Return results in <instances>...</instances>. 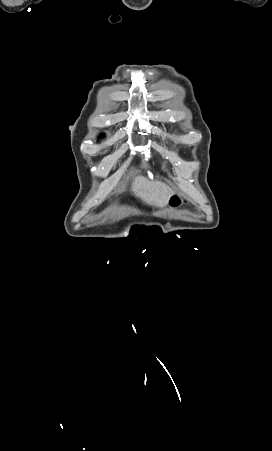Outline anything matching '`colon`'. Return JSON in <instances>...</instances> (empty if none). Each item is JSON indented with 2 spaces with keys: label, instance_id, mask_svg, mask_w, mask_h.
I'll return each mask as SVG.
<instances>
[{
  "label": "colon",
  "instance_id": "5ec220e1",
  "mask_svg": "<svg viewBox=\"0 0 272 451\" xmlns=\"http://www.w3.org/2000/svg\"><path fill=\"white\" fill-rule=\"evenodd\" d=\"M170 203L172 205L176 206V205H180L182 203V200L179 197L174 196L171 198Z\"/></svg>",
  "mask_w": 272,
  "mask_h": 451
}]
</instances>
